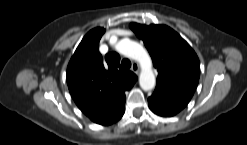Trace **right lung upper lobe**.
Masks as SVG:
<instances>
[{
    "label": "right lung upper lobe",
    "instance_id": "right-lung-upper-lobe-1",
    "mask_svg": "<svg viewBox=\"0 0 247 145\" xmlns=\"http://www.w3.org/2000/svg\"><path fill=\"white\" fill-rule=\"evenodd\" d=\"M104 28L89 31L73 54L67 67L69 91L79 109L93 122L109 125L125 112V91L137 76L120 66V56L111 52L102 58L99 41Z\"/></svg>",
    "mask_w": 247,
    "mask_h": 145
}]
</instances>
